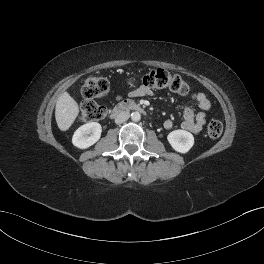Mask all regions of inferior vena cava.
<instances>
[{"label": "inferior vena cava", "instance_id": "1", "mask_svg": "<svg viewBox=\"0 0 264 264\" xmlns=\"http://www.w3.org/2000/svg\"><path fill=\"white\" fill-rule=\"evenodd\" d=\"M129 117H130V113L128 111H122L116 115L115 123L121 124V123L127 121L129 119Z\"/></svg>", "mask_w": 264, "mask_h": 264}]
</instances>
